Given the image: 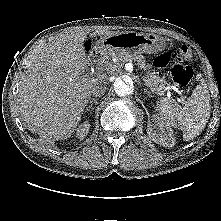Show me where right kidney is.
<instances>
[{
	"label": "right kidney",
	"instance_id": "1",
	"mask_svg": "<svg viewBox=\"0 0 221 221\" xmlns=\"http://www.w3.org/2000/svg\"><path fill=\"white\" fill-rule=\"evenodd\" d=\"M89 128H90V124L88 123V121L84 122L82 125H80L77 128V137L80 140H83L85 138L86 134L88 133Z\"/></svg>",
	"mask_w": 221,
	"mask_h": 221
}]
</instances>
